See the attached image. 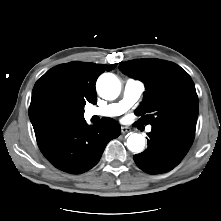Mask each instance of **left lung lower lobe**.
<instances>
[{"instance_id": "obj_1", "label": "left lung lower lobe", "mask_w": 221, "mask_h": 221, "mask_svg": "<svg viewBox=\"0 0 221 221\" xmlns=\"http://www.w3.org/2000/svg\"><path fill=\"white\" fill-rule=\"evenodd\" d=\"M148 147L133 156L136 165L146 173L159 174L175 168L190 149L194 136L164 125L152 126Z\"/></svg>"}]
</instances>
